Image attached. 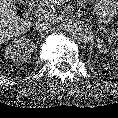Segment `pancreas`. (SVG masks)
Returning <instances> with one entry per match:
<instances>
[{"mask_svg": "<svg viewBox=\"0 0 118 118\" xmlns=\"http://www.w3.org/2000/svg\"><path fill=\"white\" fill-rule=\"evenodd\" d=\"M99 31L101 33H106L107 35H112L114 33V27L112 25H107L106 23H101L99 25Z\"/></svg>", "mask_w": 118, "mask_h": 118, "instance_id": "cf45deb5", "label": "pancreas"}]
</instances>
